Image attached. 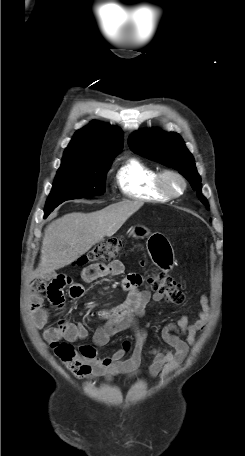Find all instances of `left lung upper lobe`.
I'll use <instances>...</instances> for the list:
<instances>
[{
	"label": "left lung upper lobe",
	"mask_w": 245,
	"mask_h": 456,
	"mask_svg": "<svg viewBox=\"0 0 245 456\" xmlns=\"http://www.w3.org/2000/svg\"><path fill=\"white\" fill-rule=\"evenodd\" d=\"M128 145L135 153L178 170L190 182L201 202L209 206L201 193V178L194 158L178 134L160 130L138 131L129 137Z\"/></svg>",
	"instance_id": "1"
}]
</instances>
